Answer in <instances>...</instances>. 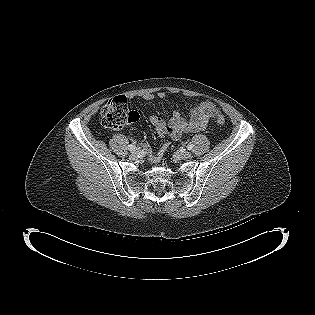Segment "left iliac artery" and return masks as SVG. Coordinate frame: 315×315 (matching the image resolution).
<instances>
[{
	"label": "left iliac artery",
	"instance_id": "44dca946",
	"mask_svg": "<svg viewBox=\"0 0 315 315\" xmlns=\"http://www.w3.org/2000/svg\"><path fill=\"white\" fill-rule=\"evenodd\" d=\"M193 145L192 144H188V146H187V148H188V150H191V149H193Z\"/></svg>",
	"mask_w": 315,
	"mask_h": 315
}]
</instances>
